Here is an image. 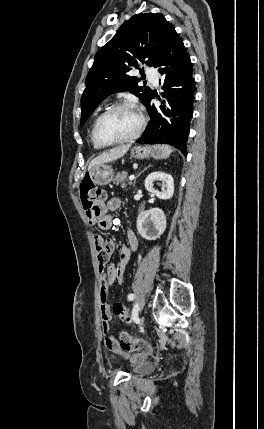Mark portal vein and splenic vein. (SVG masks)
<instances>
[{
    "label": "portal vein and splenic vein",
    "instance_id": "portal-vein-and-splenic-vein-1",
    "mask_svg": "<svg viewBox=\"0 0 264 429\" xmlns=\"http://www.w3.org/2000/svg\"><path fill=\"white\" fill-rule=\"evenodd\" d=\"M135 179V176L134 175H131L130 177H129V180L130 181H132V180H134Z\"/></svg>",
    "mask_w": 264,
    "mask_h": 429
}]
</instances>
